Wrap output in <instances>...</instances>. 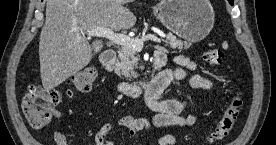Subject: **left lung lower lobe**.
I'll return each mask as SVG.
<instances>
[{
    "mask_svg": "<svg viewBox=\"0 0 276 145\" xmlns=\"http://www.w3.org/2000/svg\"><path fill=\"white\" fill-rule=\"evenodd\" d=\"M231 5H233L234 0H228Z\"/></svg>",
    "mask_w": 276,
    "mask_h": 145,
    "instance_id": "0a47b994",
    "label": "left lung lower lobe"
}]
</instances>
